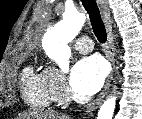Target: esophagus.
<instances>
[{"mask_svg": "<svg viewBox=\"0 0 142 119\" xmlns=\"http://www.w3.org/2000/svg\"><path fill=\"white\" fill-rule=\"evenodd\" d=\"M97 4L100 10V13L102 15L104 25L106 28V32H107L106 57L108 58V60L110 61L112 65V70L103 87V90L92 102H90L87 105L86 110H85L87 116H91L94 113V111L97 109V107L102 103L105 95L107 94L110 88V83H111V80L115 72V47H114V42H113L112 20L110 17V10L108 8V2L107 0H97Z\"/></svg>", "mask_w": 142, "mask_h": 119, "instance_id": "1", "label": "esophagus"}]
</instances>
